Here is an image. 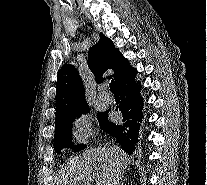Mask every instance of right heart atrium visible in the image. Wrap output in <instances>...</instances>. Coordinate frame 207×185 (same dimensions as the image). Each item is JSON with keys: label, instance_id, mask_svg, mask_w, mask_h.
I'll return each mask as SVG.
<instances>
[{"label": "right heart atrium", "instance_id": "d8ad5b80", "mask_svg": "<svg viewBox=\"0 0 207 185\" xmlns=\"http://www.w3.org/2000/svg\"><path fill=\"white\" fill-rule=\"evenodd\" d=\"M71 134L78 144L88 143L94 136L91 118L86 114L77 116L72 123Z\"/></svg>", "mask_w": 207, "mask_h": 185}]
</instances>
